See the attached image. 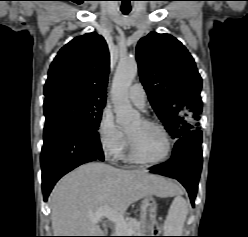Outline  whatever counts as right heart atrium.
<instances>
[{"instance_id":"1","label":"right heart atrium","mask_w":248,"mask_h":237,"mask_svg":"<svg viewBox=\"0 0 248 237\" xmlns=\"http://www.w3.org/2000/svg\"><path fill=\"white\" fill-rule=\"evenodd\" d=\"M99 143L107 157L119 158L127 144L125 134L116 125L112 112L104 110L97 128Z\"/></svg>"}]
</instances>
